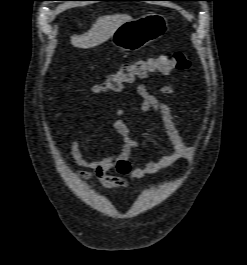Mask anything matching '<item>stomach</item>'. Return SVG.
<instances>
[{"label":"stomach","mask_w":247,"mask_h":265,"mask_svg":"<svg viewBox=\"0 0 247 265\" xmlns=\"http://www.w3.org/2000/svg\"><path fill=\"white\" fill-rule=\"evenodd\" d=\"M168 29L167 18L148 13L123 23L111 37L114 46L124 52H135L161 38Z\"/></svg>","instance_id":"obj_1"}]
</instances>
